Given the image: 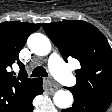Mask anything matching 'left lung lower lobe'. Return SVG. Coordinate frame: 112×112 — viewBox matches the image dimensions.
Instances as JSON below:
<instances>
[{
	"label": "left lung lower lobe",
	"instance_id": "obj_1",
	"mask_svg": "<svg viewBox=\"0 0 112 112\" xmlns=\"http://www.w3.org/2000/svg\"><path fill=\"white\" fill-rule=\"evenodd\" d=\"M110 104L106 100L74 96L73 106L61 112H105Z\"/></svg>",
	"mask_w": 112,
	"mask_h": 112
}]
</instances>
